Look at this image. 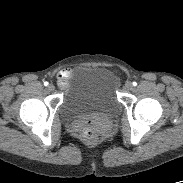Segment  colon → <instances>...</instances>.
<instances>
[{
  "label": "colon",
  "instance_id": "colon-1",
  "mask_svg": "<svg viewBox=\"0 0 183 183\" xmlns=\"http://www.w3.org/2000/svg\"><path fill=\"white\" fill-rule=\"evenodd\" d=\"M80 136L84 141L93 143L98 138V132L95 129L94 124L92 122H88L81 127Z\"/></svg>",
  "mask_w": 183,
  "mask_h": 183
}]
</instances>
